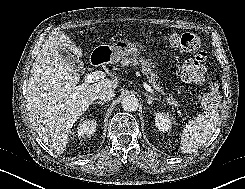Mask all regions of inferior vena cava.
Listing matches in <instances>:
<instances>
[{"label":"inferior vena cava","mask_w":245,"mask_h":189,"mask_svg":"<svg viewBox=\"0 0 245 189\" xmlns=\"http://www.w3.org/2000/svg\"><path fill=\"white\" fill-rule=\"evenodd\" d=\"M115 91L112 88H103L98 93V98L103 101H110L114 98Z\"/></svg>","instance_id":"602c4592"}]
</instances>
